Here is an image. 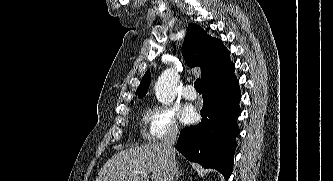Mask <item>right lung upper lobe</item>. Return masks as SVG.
Here are the masks:
<instances>
[{"mask_svg": "<svg viewBox=\"0 0 333 181\" xmlns=\"http://www.w3.org/2000/svg\"><path fill=\"white\" fill-rule=\"evenodd\" d=\"M182 55L190 67L199 66L202 69V87L220 81L234 70V65L229 59V52L221 40L210 37L197 24L188 26ZM150 78V71H147L136 91L139 98L145 96Z\"/></svg>", "mask_w": 333, "mask_h": 181, "instance_id": "1", "label": "right lung upper lobe"}]
</instances>
